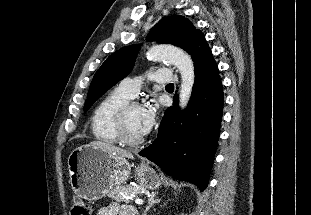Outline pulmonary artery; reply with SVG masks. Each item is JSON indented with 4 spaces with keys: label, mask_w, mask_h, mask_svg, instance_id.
<instances>
[{
    "label": "pulmonary artery",
    "mask_w": 311,
    "mask_h": 215,
    "mask_svg": "<svg viewBox=\"0 0 311 215\" xmlns=\"http://www.w3.org/2000/svg\"><path fill=\"white\" fill-rule=\"evenodd\" d=\"M148 77L151 81L156 83H169L172 80L171 71L166 68H160L151 71L148 74ZM141 84L142 79L139 77L125 78L119 83L117 89L130 99H133L139 92Z\"/></svg>",
    "instance_id": "e3ab8cb5"
}]
</instances>
